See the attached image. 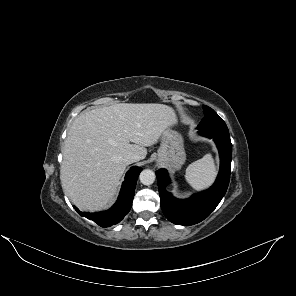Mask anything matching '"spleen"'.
I'll use <instances>...</instances> for the list:
<instances>
[{"mask_svg": "<svg viewBox=\"0 0 296 296\" xmlns=\"http://www.w3.org/2000/svg\"><path fill=\"white\" fill-rule=\"evenodd\" d=\"M216 176V167L211 154L191 163L185 174L186 181L196 190L209 187Z\"/></svg>", "mask_w": 296, "mask_h": 296, "instance_id": "1", "label": "spleen"}]
</instances>
